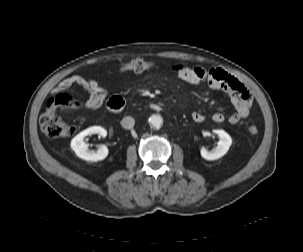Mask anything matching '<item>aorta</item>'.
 Instances as JSON below:
<instances>
[{
	"instance_id": "1",
	"label": "aorta",
	"mask_w": 303,
	"mask_h": 252,
	"mask_svg": "<svg viewBox=\"0 0 303 252\" xmlns=\"http://www.w3.org/2000/svg\"><path fill=\"white\" fill-rule=\"evenodd\" d=\"M149 123L154 128H160L162 126L163 120L160 115H153L149 119Z\"/></svg>"
}]
</instances>
